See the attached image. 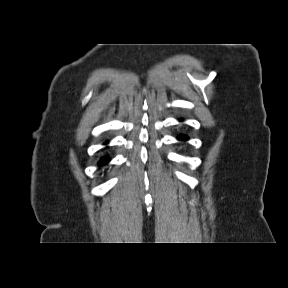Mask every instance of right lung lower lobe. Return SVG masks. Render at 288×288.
<instances>
[{"instance_id":"obj_1","label":"right lung lower lobe","mask_w":288,"mask_h":288,"mask_svg":"<svg viewBox=\"0 0 288 288\" xmlns=\"http://www.w3.org/2000/svg\"><path fill=\"white\" fill-rule=\"evenodd\" d=\"M109 158H108V156H105V157H102L101 159H100V161H99V165L101 166V165H105V164H107L108 162H109Z\"/></svg>"}]
</instances>
